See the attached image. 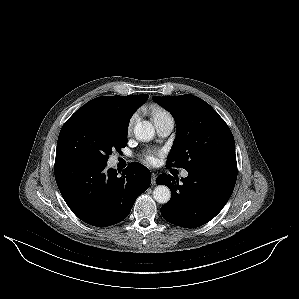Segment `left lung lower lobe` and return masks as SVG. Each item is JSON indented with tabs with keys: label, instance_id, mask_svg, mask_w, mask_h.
<instances>
[{
	"label": "left lung lower lobe",
	"instance_id": "0a47b994",
	"mask_svg": "<svg viewBox=\"0 0 299 299\" xmlns=\"http://www.w3.org/2000/svg\"><path fill=\"white\" fill-rule=\"evenodd\" d=\"M182 184L161 174L157 184L171 190L172 197L161 207L163 218L177 226L196 228L212 220L229 200L237 178L236 158L205 161L187 169Z\"/></svg>",
	"mask_w": 299,
	"mask_h": 299
}]
</instances>
